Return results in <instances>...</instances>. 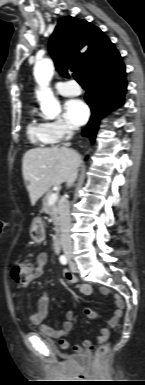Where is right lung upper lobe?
<instances>
[{
	"label": "right lung upper lobe",
	"mask_w": 145,
	"mask_h": 385,
	"mask_svg": "<svg viewBox=\"0 0 145 385\" xmlns=\"http://www.w3.org/2000/svg\"><path fill=\"white\" fill-rule=\"evenodd\" d=\"M49 52L57 70L81 72L85 80L114 69L122 58L109 38L91 23L71 16L63 17L49 40Z\"/></svg>",
	"instance_id": "cb5924a9"
}]
</instances>
